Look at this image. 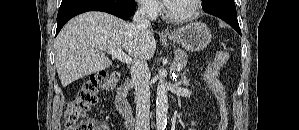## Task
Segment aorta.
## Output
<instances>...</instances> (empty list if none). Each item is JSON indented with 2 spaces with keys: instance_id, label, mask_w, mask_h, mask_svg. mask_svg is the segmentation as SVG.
I'll use <instances>...</instances> for the list:
<instances>
[{
  "instance_id": "aorta-1",
  "label": "aorta",
  "mask_w": 299,
  "mask_h": 130,
  "mask_svg": "<svg viewBox=\"0 0 299 130\" xmlns=\"http://www.w3.org/2000/svg\"><path fill=\"white\" fill-rule=\"evenodd\" d=\"M168 97L165 86V74L160 73L156 98V128L164 130L167 124Z\"/></svg>"
}]
</instances>
